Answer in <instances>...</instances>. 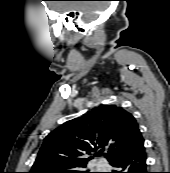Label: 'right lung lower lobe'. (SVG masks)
Segmentation results:
<instances>
[{
	"instance_id": "obj_1",
	"label": "right lung lower lobe",
	"mask_w": 170,
	"mask_h": 173,
	"mask_svg": "<svg viewBox=\"0 0 170 173\" xmlns=\"http://www.w3.org/2000/svg\"><path fill=\"white\" fill-rule=\"evenodd\" d=\"M111 173H148L144 144L110 163Z\"/></svg>"
}]
</instances>
